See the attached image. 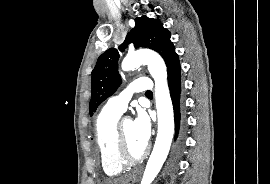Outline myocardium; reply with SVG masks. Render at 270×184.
Listing matches in <instances>:
<instances>
[{
  "label": "myocardium",
  "mask_w": 270,
  "mask_h": 184,
  "mask_svg": "<svg viewBox=\"0 0 270 184\" xmlns=\"http://www.w3.org/2000/svg\"><path fill=\"white\" fill-rule=\"evenodd\" d=\"M126 120H130L128 117H124L120 120H118L116 124V129H115V152H116V157L117 160L124 164V165H131L134 163H137L141 160H143L149 153V145L146 144L144 150L138 154V155H133L127 144V140L125 137L124 129H123V124Z\"/></svg>",
  "instance_id": "myocardium-1"
}]
</instances>
